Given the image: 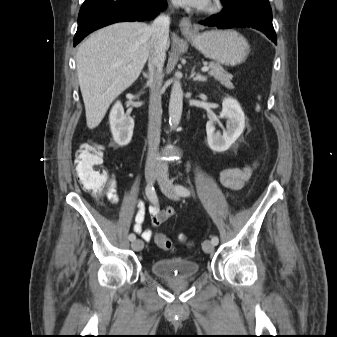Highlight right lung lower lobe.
<instances>
[{"instance_id":"right-lung-lower-lobe-1","label":"right lung lower lobe","mask_w":337,"mask_h":337,"mask_svg":"<svg viewBox=\"0 0 337 337\" xmlns=\"http://www.w3.org/2000/svg\"><path fill=\"white\" fill-rule=\"evenodd\" d=\"M165 6V0H85L78 16L74 46L101 27L153 19Z\"/></svg>"}]
</instances>
